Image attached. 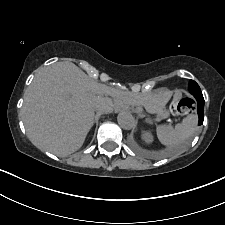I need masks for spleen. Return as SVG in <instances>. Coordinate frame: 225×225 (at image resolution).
Wrapping results in <instances>:
<instances>
[{
  "label": "spleen",
  "mask_w": 225,
  "mask_h": 225,
  "mask_svg": "<svg viewBox=\"0 0 225 225\" xmlns=\"http://www.w3.org/2000/svg\"><path fill=\"white\" fill-rule=\"evenodd\" d=\"M196 124L197 117L195 115H189L175 127L170 125L157 126V137L159 141L167 147L178 145L194 133Z\"/></svg>",
  "instance_id": "1"
}]
</instances>
